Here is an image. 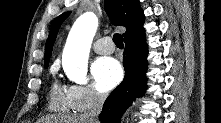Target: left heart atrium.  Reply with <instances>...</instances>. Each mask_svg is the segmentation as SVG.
I'll return each instance as SVG.
<instances>
[{"label": "left heart atrium", "instance_id": "1", "mask_svg": "<svg viewBox=\"0 0 221 123\" xmlns=\"http://www.w3.org/2000/svg\"><path fill=\"white\" fill-rule=\"evenodd\" d=\"M91 72L98 88L103 91L115 87L123 76L120 63L112 57L98 58L93 63Z\"/></svg>", "mask_w": 221, "mask_h": 123}]
</instances>
